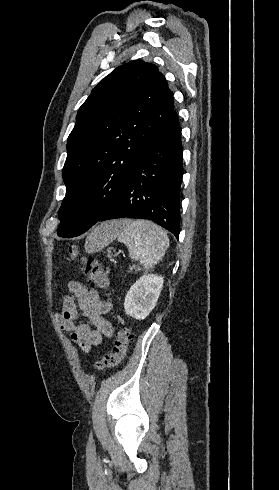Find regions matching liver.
Instances as JSON below:
<instances>
[{
	"instance_id": "1",
	"label": "liver",
	"mask_w": 279,
	"mask_h": 490,
	"mask_svg": "<svg viewBox=\"0 0 279 490\" xmlns=\"http://www.w3.org/2000/svg\"><path fill=\"white\" fill-rule=\"evenodd\" d=\"M101 226L105 232H109L111 224L110 222H104V224H101Z\"/></svg>"
}]
</instances>
